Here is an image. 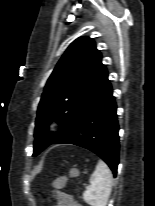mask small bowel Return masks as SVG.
Returning a JSON list of instances; mask_svg holds the SVG:
<instances>
[{
  "label": "small bowel",
  "instance_id": "c3829d8e",
  "mask_svg": "<svg viewBox=\"0 0 155 206\" xmlns=\"http://www.w3.org/2000/svg\"><path fill=\"white\" fill-rule=\"evenodd\" d=\"M58 204L56 206H79L73 198L66 193H59L58 196Z\"/></svg>",
  "mask_w": 155,
  "mask_h": 206
}]
</instances>
